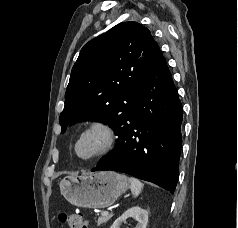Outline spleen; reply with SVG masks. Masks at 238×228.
I'll use <instances>...</instances> for the list:
<instances>
[{
    "instance_id": "obj_1",
    "label": "spleen",
    "mask_w": 238,
    "mask_h": 228,
    "mask_svg": "<svg viewBox=\"0 0 238 228\" xmlns=\"http://www.w3.org/2000/svg\"><path fill=\"white\" fill-rule=\"evenodd\" d=\"M130 189L134 197H137L143 189V184L136 178H129Z\"/></svg>"
}]
</instances>
